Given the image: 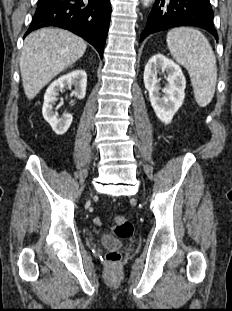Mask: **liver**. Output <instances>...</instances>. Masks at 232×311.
Masks as SVG:
<instances>
[{
	"instance_id": "1",
	"label": "liver",
	"mask_w": 232,
	"mask_h": 311,
	"mask_svg": "<svg viewBox=\"0 0 232 311\" xmlns=\"http://www.w3.org/2000/svg\"><path fill=\"white\" fill-rule=\"evenodd\" d=\"M87 43L77 35L56 28L29 34L20 57V71L26 97L31 100L56 75L85 53Z\"/></svg>"
}]
</instances>
